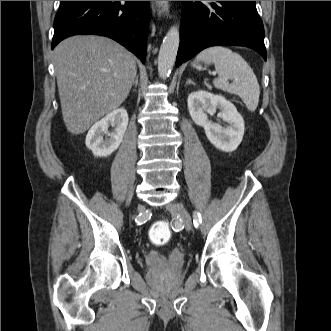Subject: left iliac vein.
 I'll return each mask as SVG.
<instances>
[{
    "label": "left iliac vein",
    "instance_id": "left-iliac-vein-1",
    "mask_svg": "<svg viewBox=\"0 0 331 331\" xmlns=\"http://www.w3.org/2000/svg\"><path fill=\"white\" fill-rule=\"evenodd\" d=\"M166 209L169 212L177 215V217H179L183 221L186 230L190 231L192 229L193 223L191 216L182 204L169 203L166 205Z\"/></svg>",
    "mask_w": 331,
    "mask_h": 331
}]
</instances>
